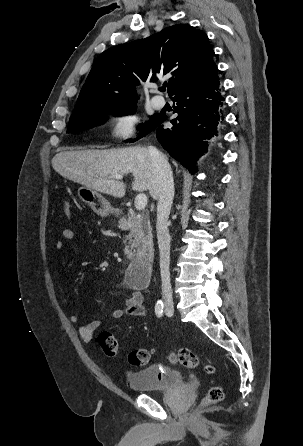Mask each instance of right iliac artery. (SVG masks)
<instances>
[{
	"label": "right iliac artery",
	"instance_id": "1",
	"mask_svg": "<svg viewBox=\"0 0 303 446\" xmlns=\"http://www.w3.org/2000/svg\"><path fill=\"white\" fill-rule=\"evenodd\" d=\"M163 311H164V304L163 302L157 301L156 305H155V313L158 317H162L163 316Z\"/></svg>",
	"mask_w": 303,
	"mask_h": 446
}]
</instances>
